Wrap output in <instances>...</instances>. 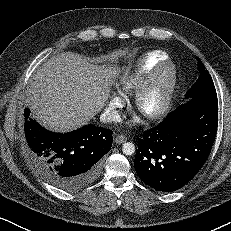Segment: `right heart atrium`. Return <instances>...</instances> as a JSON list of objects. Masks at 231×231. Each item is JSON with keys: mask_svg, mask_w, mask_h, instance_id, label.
I'll return each mask as SVG.
<instances>
[{"mask_svg": "<svg viewBox=\"0 0 231 231\" xmlns=\"http://www.w3.org/2000/svg\"><path fill=\"white\" fill-rule=\"evenodd\" d=\"M109 104L111 109L114 110L115 108L122 106V99L118 94L113 93L110 95Z\"/></svg>", "mask_w": 231, "mask_h": 231, "instance_id": "d8ad5b80", "label": "right heart atrium"}]
</instances>
